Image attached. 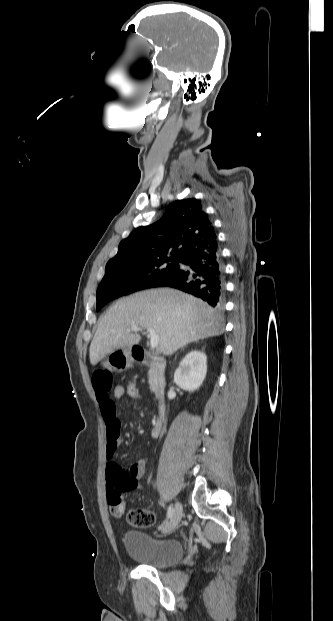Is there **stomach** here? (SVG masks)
Instances as JSON below:
<instances>
[{
    "instance_id": "1",
    "label": "stomach",
    "mask_w": 333,
    "mask_h": 621,
    "mask_svg": "<svg viewBox=\"0 0 333 621\" xmlns=\"http://www.w3.org/2000/svg\"><path fill=\"white\" fill-rule=\"evenodd\" d=\"M132 361L131 348H114L108 357V365L115 369L124 368L125 365L130 364Z\"/></svg>"
}]
</instances>
